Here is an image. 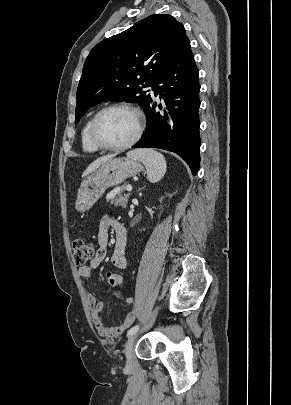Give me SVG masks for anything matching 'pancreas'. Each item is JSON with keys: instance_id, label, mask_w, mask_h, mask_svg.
<instances>
[{"instance_id": "cf45deb5", "label": "pancreas", "mask_w": 291, "mask_h": 405, "mask_svg": "<svg viewBox=\"0 0 291 405\" xmlns=\"http://www.w3.org/2000/svg\"><path fill=\"white\" fill-rule=\"evenodd\" d=\"M124 191L125 187H122L119 192L113 193L110 197L111 204H114V206H121L122 208H126L130 193L125 194Z\"/></svg>"}]
</instances>
